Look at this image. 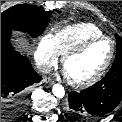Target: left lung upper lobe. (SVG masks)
Here are the masks:
<instances>
[{
    "instance_id": "1",
    "label": "left lung upper lobe",
    "mask_w": 122,
    "mask_h": 122,
    "mask_svg": "<svg viewBox=\"0 0 122 122\" xmlns=\"http://www.w3.org/2000/svg\"><path fill=\"white\" fill-rule=\"evenodd\" d=\"M116 57L113 62L112 67L117 66V65H122V40L121 38L116 34Z\"/></svg>"
}]
</instances>
